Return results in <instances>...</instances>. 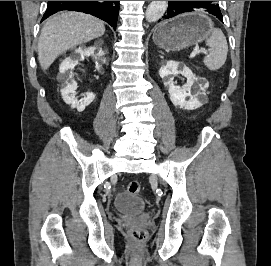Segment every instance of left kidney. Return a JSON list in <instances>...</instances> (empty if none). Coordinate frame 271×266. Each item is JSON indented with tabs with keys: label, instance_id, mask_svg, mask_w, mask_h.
<instances>
[{
	"label": "left kidney",
	"instance_id": "left-kidney-1",
	"mask_svg": "<svg viewBox=\"0 0 271 266\" xmlns=\"http://www.w3.org/2000/svg\"><path fill=\"white\" fill-rule=\"evenodd\" d=\"M177 73L182 74L187 79V83L182 87L175 85L173 82V76ZM159 75L163 79L164 85L168 87L170 100L175 106L184 110H195L202 106L199 96L204 94L205 88L208 85L206 82L200 83V91L192 95L191 90L196 77L188 67L180 66L176 61H168L165 66L160 68ZM187 97H189V100H186Z\"/></svg>",
	"mask_w": 271,
	"mask_h": 266
}]
</instances>
